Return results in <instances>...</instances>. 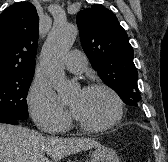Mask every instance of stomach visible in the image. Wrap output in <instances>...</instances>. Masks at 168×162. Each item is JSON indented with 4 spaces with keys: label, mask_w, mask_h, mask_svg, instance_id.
I'll return each mask as SVG.
<instances>
[{
    "label": "stomach",
    "mask_w": 168,
    "mask_h": 162,
    "mask_svg": "<svg viewBox=\"0 0 168 162\" xmlns=\"http://www.w3.org/2000/svg\"><path fill=\"white\" fill-rule=\"evenodd\" d=\"M91 162H119V157L113 149L101 146L92 152Z\"/></svg>",
    "instance_id": "1"
}]
</instances>
